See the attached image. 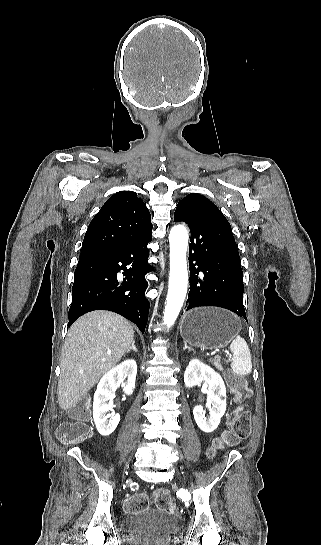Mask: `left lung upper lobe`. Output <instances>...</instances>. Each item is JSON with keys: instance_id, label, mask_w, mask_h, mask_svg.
Returning a JSON list of instances; mask_svg holds the SVG:
<instances>
[{"instance_id": "5c2ea615", "label": "left lung upper lobe", "mask_w": 321, "mask_h": 545, "mask_svg": "<svg viewBox=\"0 0 321 545\" xmlns=\"http://www.w3.org/2000/svg\"><path fill=\"white\" fill-rule=\"evenodd\" d=\"M214 209L219 210L217 206L211 202L208 198L197 194L191 193L186 195L177 205L175 214L180 212H201L203 210ZM174 214V215H175Z\"/></svg>"}]
</instances>
